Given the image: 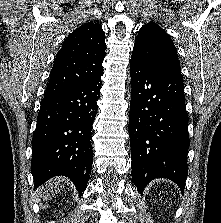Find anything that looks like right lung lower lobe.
Returning <instances> with one entry per match:
<instances>
[{
    "instance_id": "right-lung-lower-lobe-1",
    "label": "right lung lower lobe",
    "mask_w": 221,
    "mask_h": 223,
    "mask_svg": "<svg viewBox=\"0 0 221 223\" xmlns=\"http://www.w3.org/2000/svg\"><path fill=\"white\" fill-rule=\"evenodd\" d=\"M102 73L78 86L44 96L32 139L35 188L62 175L73 181L80 196L83 194L91 172L90 139Z\"/></svg>"
}]
</instances>
